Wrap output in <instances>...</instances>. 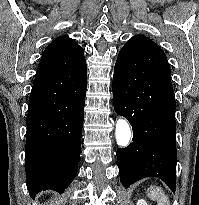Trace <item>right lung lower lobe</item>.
<instances>
[{"instance_id":"98d812e1","label":"right lung lower lobe","mask_w":199,"mask_h":205,"mask_svg":"<svg viewBox=\"0 0 199 205\" xmlns=\"http://www.w3.org/2000/svg\"><path fill=\"white\" fill-rule=\"evenodd\" d=\"M34 81L26 119V185L32 198L43 190L64 192L77 174L87 72L66 78L59 90Z\"/></svg>"}]
</instances>
